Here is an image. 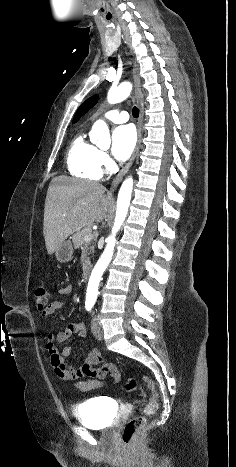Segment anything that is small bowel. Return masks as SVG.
Segmentation results:
<instances>
[{
	"label": "small bowel",
	"mask_w": 236,
	"mask_h": 467,
	"mask_svg": "<svg viewBox=\"0 0 236 467\" xmlns=\"http://www.w3.org/2000/svg\"><path fill=\"white\" fill-rule=\"evenodd\" d=\"M72 290L71 284L61 286L57 290L54 300L41 310V317L46 319L54 312L60 310L64 305L63 298L71 294ZM74 333H77L80 337H85V325L82 322L69 323L57 333L50 332L47 336L46 348L50 354V361L55 374L63 380H76L89 377V380L78 381L76 383V387L82 392L101 388L103 385L102 380L106 377H111L115 384L118 383L121 378L118 368L109 362L99 365L100 355L96 349L88 351L80 367L72 368L65 364L64 358L70 355L71 348L70 346H64L58 349L56 344L67 342Z\"/></svg>",
	"instance_id": "obj_1"
}]
</instances>
